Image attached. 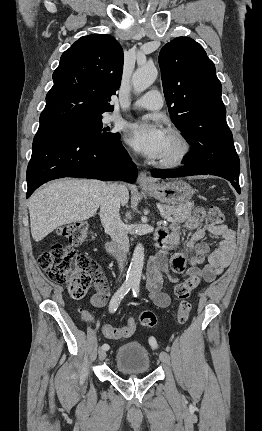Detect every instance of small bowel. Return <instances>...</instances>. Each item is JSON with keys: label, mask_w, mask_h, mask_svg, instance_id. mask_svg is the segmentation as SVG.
I'll return each instance as SVG.
<instances>
[{"label": "small bowel", "mask_w": 262, "mask_h": 431, "mask_svg": "<svg viewBox=\"0 0 262 431\" xmlns=\"http://www.w3.org/2000/svg\"><path fill=\"white\" fill-rule=\"evenodd\" d=\"M204 217L205 212L196 209L182 223L173 222L167 229L158 230L159 237L165 243L149 261L146 283L149 297L157 307L166 308L172 302L170 295L162 290L165 275L172 283H178L186 275L196 273L204 281L213 282L230 265L234 254V232L226 225H201ZM183 226L193 231L185 241L182 239ZM207 234L222 238L219 248L212 252L204 241ZM203 263H206L203 267H197ZM108 298L107 280L101 277L94 285L90 304L92 307H102ZM150 342H155L154 337H150Z\"/></svg>", "instance_id": "c3829d8e"}]
</instances>
